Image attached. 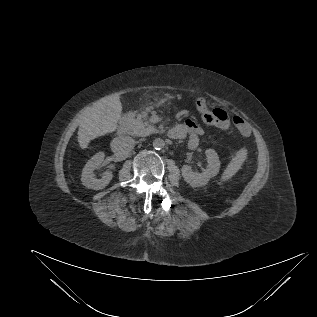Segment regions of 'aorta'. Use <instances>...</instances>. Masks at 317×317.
I'll list each match as a JSON object with an SVG mask.
<instances>
[{"label":"aorta","mask_w":317,"mask_h":317,"mask_svg":"<svg viewBox=\"0 0 317 317\" xmlns=\"http://www.w3.org/2000/svg\"><path fill=\"white\" fill-rule=\"evenodd\" d=\"M164 146H165V142H164L163 139H161V138H156V139H154V141H153V147H154L155 149L160 150V149L164 148Z\"/></svg>","instance_id":"aorta-1"}]
</instances>
